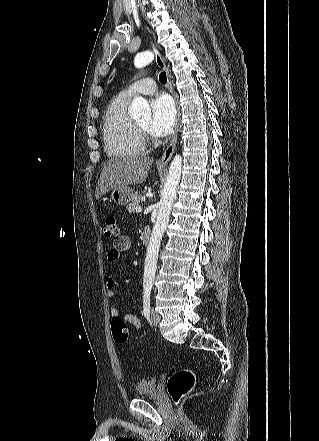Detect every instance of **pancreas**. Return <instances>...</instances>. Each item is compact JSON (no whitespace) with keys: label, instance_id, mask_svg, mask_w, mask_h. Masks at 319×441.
Wrapping results in <instances>:
<instances>
[{"label":"pancreas","instance_id":"1","mask_svg":"<svg viewBox=\"0 0 319 441\" xmlns=\"http://www.w3.org/2000/svg\"><path fill=\"white\" fill-rule=\"evenodd\" d=\"M141 197L142 195L139 192L135 193V195L132 198V202L128 204L126 207L128 212L132 213L136 211V207H138L141 202Z\"/></svg>","mask_w":319,"mask_h":441}]
</instances>
